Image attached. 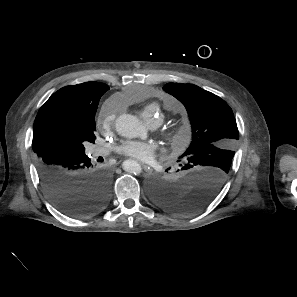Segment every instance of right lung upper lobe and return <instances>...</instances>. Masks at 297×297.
<instances>
[{"mask_svg":"<svg viewBox=\"0 0 297 297\" xmlns=\"http://www.w3.org/2000/svg\"><path fill=\"white\" fill-rule=\"evenodd\" d=\"M109 89L104 83L86 82L66 86L55 92L40 108L33 127L32 148L37 159L46 151L44 137L58 120L84 124L95 115L101 96Z\"/></svg>","mask_w":297,"mask_h":297,"instance_id":"1","label":"right lung upper lobe"}]
</instances>
